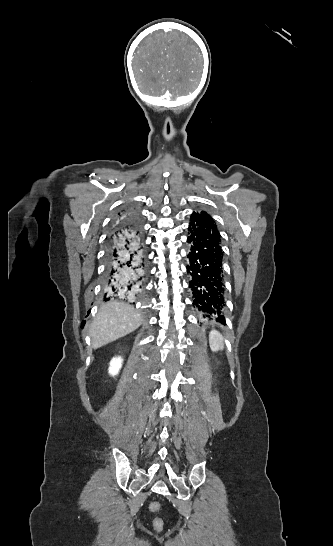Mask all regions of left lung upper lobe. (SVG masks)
I'll return each mask as SVG.
<instances>
[{
	"label": "left lung upper lobe",
	"instance_id": "5c2ea615",
	"mask_svg": "<svg viewBox=\"0 0 333 546\" xmlns=\"http://www.w3.org/2000/svg\"><path fill=\"white\" fill-rule=\"evenodd\" d=\"M193 214H196V215H201V216H204V217H210L206 212L204 211H201L200 213H193Z\"/></svg>",
	"mask_w": 333,
	"mask_h": 546
}]
</instances>
